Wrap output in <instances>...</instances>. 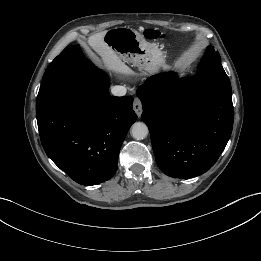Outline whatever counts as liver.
I'll use <instances>...</instances> for the list:
<instances>
[{
  "label": "liver",
  "mask_w": 261,
  "mask_h": 261,
  "mask_svg": "<svg viewBox=\"0 0 261 261\" xmlns=\"http://www.w3.org/2000/svg\"><path fill=\"white\" fill-rule=\"evenodd\" d=\"M106 31L96 33L88 38V45L101 57L107 69L121 74H129L130 69L124 61L105 43Z\"/></svg>",
  "instance_id": "6515ba94"
}]
</instances>
